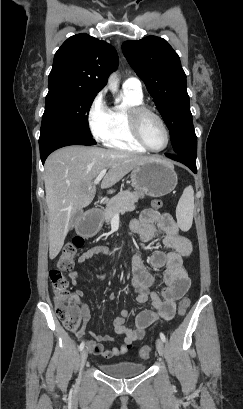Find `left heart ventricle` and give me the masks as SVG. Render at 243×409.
<instances>
[{
  "instance_id": "1",
  "label": "left heart ventricle",
  "mask_w": 243,
  "mask_h": 409,
  "mask_svg": "<svg viewBox=\"0 0 243 409\" xmlns=\"http://www.w3.org/2000/svg\"><path fill=\"white\" fill-rule=\"evenodd\" d=\"M142 134L145 141L153 148H162L166 143V135L162 125L151 115H145L141 121Z\"/></svg>"
}]
</instances>
